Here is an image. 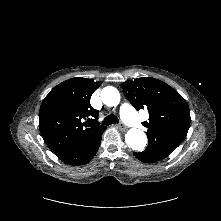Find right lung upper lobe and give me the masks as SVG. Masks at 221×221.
Returning a JSON list of instances; mask_svg holds the SVG:
<instances>
[{
    "instance_id": "obj_1",
    "label": "right lung upper lobe",
    "mask_w": 221,
    "mask_h": 221,
    "mask_svg": "<svg viewBox=\"0 0 221 221\" xmlns=\"http://www.w3.org/2000/svg\"><path fill=\"white\" fill-rule=\"evenodd\" d=\"M100 85L101 82L88 78H71L55 86L43 100L39 129L57 157L76 148L92 133L106 128L99 125V111L90 104L92 93Z\"/></svg>"
}]
</instances>
